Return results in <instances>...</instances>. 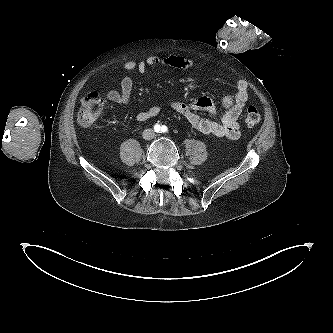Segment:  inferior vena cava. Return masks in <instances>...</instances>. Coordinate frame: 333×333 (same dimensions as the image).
I'll list each match as a JSON object with an SVG mask.
<instances>
[{"mask_svg": "<svg viewBox=\"0 0 333 333\" xmlns=\"http://www.w3.org/2000/svg\"><path fill=\"white\" fill-rule=\"evenodd\" d=\"M142 136L144 139L150 140L154 137V131L152 129H145Z\"/></svg>", "mask_w": 333, "mask_h": 333, "instance_id": "inferior-vena-cava-1", "label": "inferior vena cava"}]
</instances>
